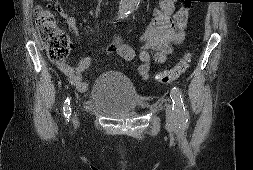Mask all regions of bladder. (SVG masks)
I'll list each match as a JSON object with an SVG mask.
<instances>
[{
	"mask_svg": "<svg viewBox=\"0 0 253 170\" xmlns=\"http://www.w3.org/2000/svg\"><path fill=\"white\" fill-rule=\"evenodd\" d=\"M88 101L109 117H128L141 110V99L134 84L124 73L115 70H106L97 77Z\"/></svg>",
	"mask_w": 253,
	"mask_h": 170,
	"instance_id": "31cf9c89",
	"label": "bladder"
}]
</instances>
